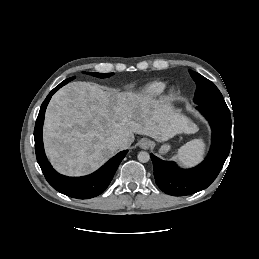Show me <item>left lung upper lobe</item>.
<instances>
[{"label": "left lung upper lobe", "instance_id": "left-lung-upper-lobe-1", "mask_svg": "<svg viewBox=\"0 0 259 259\" xmlns=\"http://www.w3.org/2000/svg\"><path fill=\"white\" fill-rule=\"evenodd\" d=\"M191 77L196 82V92L194 102L200 103H225L222 94L213 82L206 79L202 75L192 70H189Z\"/></svg>", "mask_w": 259, "mask_h": 259}]
</instances>
